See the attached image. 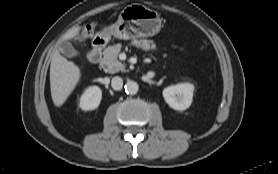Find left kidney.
Here are the masks:
<instances>
[{"instance_id": "5707ae66", "label": "left kidney", "mask_w": 278, "mask_h": 174, "mask_svg": "<svg viewBox=\"0 0 278 174\" xmlns=\"http://www.w3.org/2000/svg\"><path fill=\"white\" fill-rule=\"evenodd\" d=\"M194 86L190 83L172 85L163 90L166 103L174 110L183 111L190 107Z\"/></svg>"}]
</instances>
